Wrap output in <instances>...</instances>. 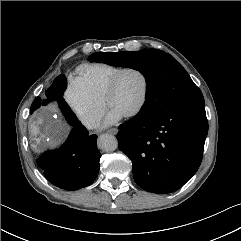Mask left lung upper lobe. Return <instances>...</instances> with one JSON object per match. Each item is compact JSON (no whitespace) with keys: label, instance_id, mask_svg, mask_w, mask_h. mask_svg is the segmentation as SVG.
<instances>
[{"label":"left lung upper lobe","instance_id":"5c2ea615","mask_svg":"<svg viewBox=\"0 0 241 241\" xmlns=\"http://www.w3.org/2000/svg\"><path fill=\"white\" fill-rule=\"evenodd\" d=\"M88 60L141 72L147 83L146 101L159 94L166 108L205 104L200 89L185 69L164 51L144 49L135 52H98L90 55Z\"/></svg>","mask_w":241,"mask_h":241}]
</instances>
